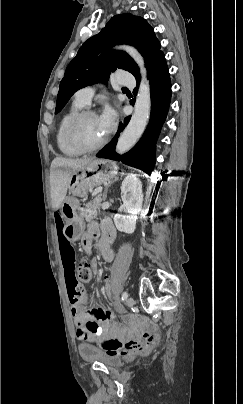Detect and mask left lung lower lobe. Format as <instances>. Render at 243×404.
Segmentation results:
<instances>
[{
    "label": "left lung lower lobe",
    "instance_id": "left-lung-lower-lobe-1",
    "mask_svg": "<svg viewBox=\"0 0 243 404\" xmlns=\"http://www.w3.org/2000/svg\"><path fill=\"white\" fill-rule=\"evenodd\" d=\"M148 79L151 91V115L145 133L140 141L128 153L120 156L115 152V146L120 132L128 124L130 116L120 123L119 129L113 140L97 154V157L107 158L133 166L150 174L155 164V142L165 121L171 99V83L169 70L164 54L159 55L148 68ZM138 91L140 76L136 77Z\"/></svg>",
    "mask_w": 243,
    "mask_h": 404
}]
</instances>
